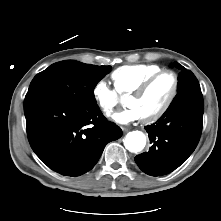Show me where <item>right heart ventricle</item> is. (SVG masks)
<instances>
[{
    "mask_svg": "<svg viewBox=\"0 0 221 221\" xmlns=\"http://www.w3.org/2000/svg\"><path fill=\"white\" fill-rule=\"evenodd\" d=\"M160 70L161 68L156 65H126L116 69L111 77L117 92L129 94Z\"/></svg>",
    "mask_w": 221,
    "mask_h": 221,
    "instance_id": "1",
    "label": "right heart ventricle"
}]
</instances>
